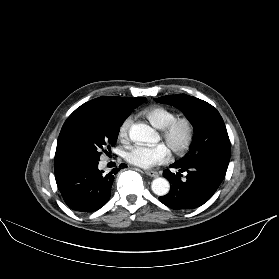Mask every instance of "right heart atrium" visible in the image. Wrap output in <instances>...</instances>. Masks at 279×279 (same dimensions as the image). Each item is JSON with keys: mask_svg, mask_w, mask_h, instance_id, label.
<instances>
[{"mask_svg": "<svg viewBox=\"0 0 279 279\" xmlns=\"http://www.w3.org/2000/svg\"><path fill=\"white\" fill-rule=\"evenodd\" d=\"M133 124V117L131 115L124 118L119 127V137L123 140L127 139L129 136V130Z\"/></svg>", "mask_w": 279, "mask_h": 279, "instance_id": "1", "label": "right heart atrium"}]
</instances>
